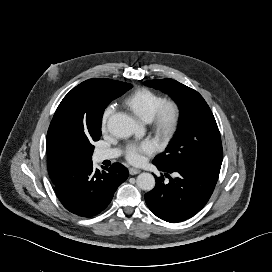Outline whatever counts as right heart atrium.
I'll list each match as a JSON object with an SVG mask.
<instances>
[{
	"label": "right heart atrium",
	"mask_w": 272,
	"mask_h": 272,
	"mask_svg": "<svg viewBox=\"0 0 272 272\" xmlns=\"http://www.w3.org/2000/svg\"><path fill=\"white\" fill-rule=\"evenodd\" d=\"M112 111H113V106L112 105H108L105 108V110L103 112V115H102V118H101V127H102V129H104L106 127L108 119H109Z\"/></svg>",
	"instance_id": "obj_1"
}]
</instances>
